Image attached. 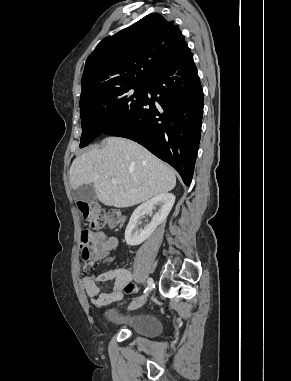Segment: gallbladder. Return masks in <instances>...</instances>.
<instances>
[{
  "instance_id": "obj_1",
  "label": "gallbladder",
  "mask_w": 291,
  "mask_h": 381,
  "mask_svg": "<svg viewBox=\"0 0 291 381\" xmlns=\"http://www.w3.org/2000/svg\"><path fill=\"white\" fill-rule=\"evenodd\" d=\"M73 196L77 201L82 202H91L97 198L94 187L91 184L77 187L73 190Z\"/></svg>"
}]
</instances>
